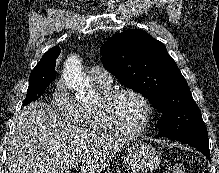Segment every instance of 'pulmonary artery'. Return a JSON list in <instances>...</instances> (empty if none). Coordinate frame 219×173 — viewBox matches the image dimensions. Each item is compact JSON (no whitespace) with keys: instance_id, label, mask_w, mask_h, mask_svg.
Wrapping results in <instances>:
<instances>
[{"instance_id":"e3ab8cb5","label":"pulmonary artery","mask_w":219,"mask_h":173,"mask_svg":"<svg viewBox=\"0 0 219 173\" xmlns=\"http://www.w3.org/2000/svg\"><path fill=\"white\" fill-rule=\"evenodd\" d=\"M89 78L93 83L110 85L112 83L111 74L102 66H93L88 71Z\"/></svg>"}]
</instances>
